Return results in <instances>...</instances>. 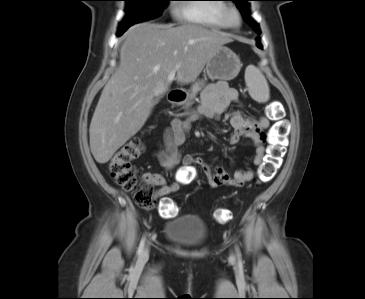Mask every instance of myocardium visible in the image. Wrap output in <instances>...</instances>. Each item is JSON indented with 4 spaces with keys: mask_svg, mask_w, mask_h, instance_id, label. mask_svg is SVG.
<instances>
[{
    "mask_svg": "<svg viewBox=\"0 0 365 299\" xmlns=\"http://www.w3.org/2000/svg\"><path fill=\"white\" fill-rule=\"evenodd\" d=\"M222 22L227 29H238L242 24V15L238 8L231 4L226 5L222 12Z\"/></svg>",
    "mask_w": 365,
    "mask_h": 299,
    "instance_id": "obj_1",
    "label": "myocardium"
}]
</instances>
